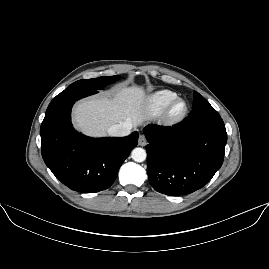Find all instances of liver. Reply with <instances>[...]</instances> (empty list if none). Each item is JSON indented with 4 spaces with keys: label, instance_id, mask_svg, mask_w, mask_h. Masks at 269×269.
I'll return each instance as SVG.
<instances>
[{
    "label": "liver",
    "instance_id": "obj_1",
    "mask_svg": "<svg viewBox=\"0 0 269 269\" xmlns=\"http://www.w3.org/2000/svg\"><path fill=\"white\" fill-rule=\"evenodd\" d=\"M145 100V91L139 86L115 88L106 95L81 100L73 109L75 127L93 137L104 136L117 123L137 127L147 119Z\"/></svg>",
    "mask_w": 269,
    "mask_h": 269
}]
</instances>
